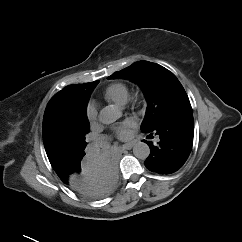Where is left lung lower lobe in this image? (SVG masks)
I'll use <instances>...</instances> for the list:
<instances>
[{
  "label": "left lung lower lobe",
  "instance_id": "left-lung-lower-lobe-1",
  "mask_svg": "<svg viewBox=\"0 0 242 242\" xmlns=\"http://www.w3.org/2000/svg\"><path fill=\"white\" fill-rule=\"evenodd\" d=\"M142 132H154L160 138L156 146L147 142L151 151L144 162L146 168L158 174L174 173L184 165L192 149L194 136L192 108L184 107L163 119L153 130Z\"/></svg>",
  "mask_w": 242,
  "mask_h": 242
}]
</instances>
